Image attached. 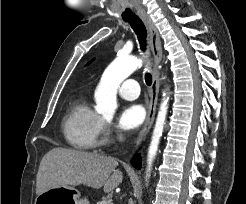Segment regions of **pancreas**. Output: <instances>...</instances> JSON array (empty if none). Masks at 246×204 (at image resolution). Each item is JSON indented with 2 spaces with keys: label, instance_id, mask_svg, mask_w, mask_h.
Masks as SVG:
<instances>
[{
  "label": "pancreas",
  "instance_id": "pancreas-1",
  "mask_svg": "<svg viewBox=\"0 0 246 204\" xmlns=\"http://www.w3.org/2000/svg\"><path fill=\"white\" fill-rule=\"evenodd\" d=\"M97 204H111V201H110V199H103V200L97 202Z\"/></svg>",
  "mask_w": 246,
  "mask_h": 204
}]
</instances>
